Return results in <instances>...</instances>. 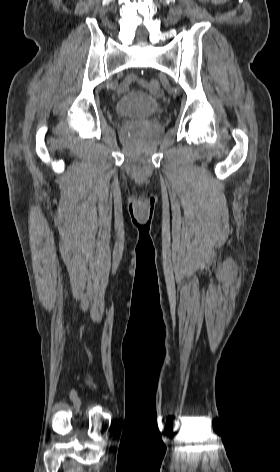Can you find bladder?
Returning a JSON list of instances; mask_svg holds the SVG:
<instances>
[{
	"label": "bladder",
	"mask_w": 280,
	"mask_h": 472,
	"mask_svg": "<svg viewBox=\"0 0 280 472\" xmlns=\"http://www.w3.org/2000/svg\"><path fill=\"white\" fill-rule=\"evenodd\" d=\"M115 111L119 116L144 119L162 112V108L157 99L142 92H134L121 97Z\"/></svg>",
	"instance_id": "31cf9c89"
}]
</instances>
